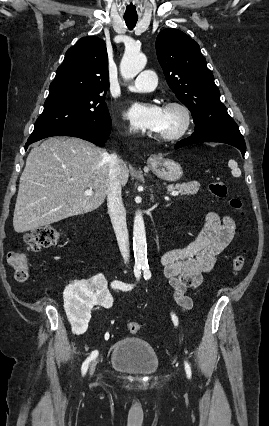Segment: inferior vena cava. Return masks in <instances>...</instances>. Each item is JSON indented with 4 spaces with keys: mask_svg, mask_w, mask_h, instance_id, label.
Segmentation results:
<instances>
[{
    "mask_svg": "<svg viewBox=\"0 0 269 426\" xmlns=\"http://www.w3.org/2000/svg\"><path fill=\"white\" fill-rule=\"evenodd\" d=\"M122 168V160L114 153L109 155L107 206L120 252L126 262L129 258V239L126 224V211L121 196L120 174Z\"/></svg>",
    "mask_w": 269,
    "mask_h": 426,
    "instance_id": "1",
    "label": "inferior vena cava"
}]
</instances>
